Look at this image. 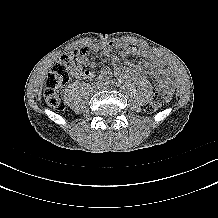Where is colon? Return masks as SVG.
Segmentation results:
<instances>
[{"label":"colon","instance_id":"1","mask_svg":"<svg viewBox=\"0 0 218 218\" xmlns=\"http://www.w3.org/2000/svg\"><path fill=\"white\" fill-rule=\"evenodd\" d=\"M82 50L79 49L72 53L63 55L53 66L45 81L43 96L47 104L58 110H63L65 105L62 101L61 89L70 81L71 68L76 60L81 56ZM165 103L163 91L155 92L145 105L149 113L158 111Z\"/></svg>","mask_w":218,"mask_h":218}]
</instances>
